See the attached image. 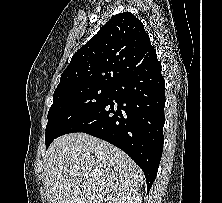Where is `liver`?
<instances>
[{"mask_svg": "<svg viewBox=\"0 0 222 203\" xmlns=\"http://www.w3.org/2000/svg\"><path fill=\"white\" fill-rule=\"evenodd\" d=\"M44 177L49 203H115L144 182L142 170L125 152L85 133L51 143Z\"/></svg>", "mask_w": 222, "mask_h": 203, "instance_id": "liver-1", "label": "liver"}]
</instances>
